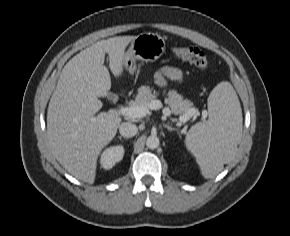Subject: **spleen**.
I'll return each mask as SVG.
<instances>
[{"mask_svg":"<svg viewBox=\"0 0 290 236\" xmlns=\"http://www.w3.org/2000/svg\"><path fill=\"white\" fill-rule=\"evenodd\" d=\"M209 118L190 128L185 138L204 178H213L230 162L242 136V109L233 86L220 82L208 97Z\"/></svg>","mask_w":290,"mask_h":236,"instance_id":"obj_1","label":"spleen"}]
</instances>
